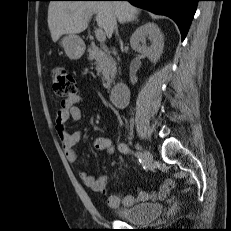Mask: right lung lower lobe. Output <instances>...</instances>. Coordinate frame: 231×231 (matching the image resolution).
<instances>
[{"label": "right lung lower lobe", "instance_id": "right-lung-lower-lobe-1", "mask_svg": "<svg viewBox=\"0 0 231 231\" xmlns=\"http://www.w3.org/2000/svg\"><path fill=\"white\" fill-rule=\"evenodd\" d=\"M97 1V0H90ZM129 1L131 4L147 9L155 14L172 18L178 25L182 40L185 39L191 21L200 0H118Z\"/></svg>", "mask_w": 231, "mask_h": 231}]
</instances>
